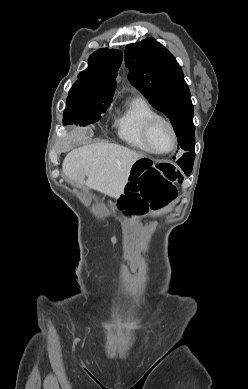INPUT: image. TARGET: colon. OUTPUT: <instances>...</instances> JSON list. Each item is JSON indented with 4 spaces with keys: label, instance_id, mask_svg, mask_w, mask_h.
I'll return each instance as SVG.
<instances>
[{
    "label": "colon",
    "instance_id": "5ec220e1",
    "mask_svg": "<svg viewBox=\"0 0 248 389\" xmlns=\"http://www.w3.org/2000/svg\"><path fill=\"white\" fill-rule=\"evenodd\" d=\"M182 180L181 172L172 166L171 161L138 157L125 191L117 196L118 205L124 211L122 216L146 214L150 209L163 208L176 198V186Z\"/></svg>",
    "mask_w": 248,
    "mask_h": 389
}]
</instances>
